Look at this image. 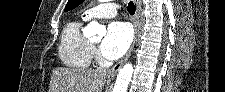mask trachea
<instances>
[{
    "label": "trachea",
    "mask_w": 225,
    "mask_h": 92,
    "mask_svg": "<svg viewBox=\"0 0 225 92\" xmlns=\"http://www.w3.org/2000/svg\"><path fill=\"white\" fill-rule=\"evenodd\" d=\"M127 10H128L130 15H133L135 13L136 7H135V5H134V3L132 1H130L128 3Z\"/></svg>",
    "instance_id": "obj_1"
}]
</instances>
